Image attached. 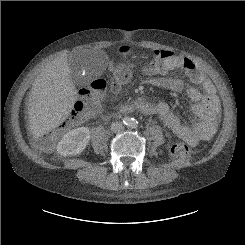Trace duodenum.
Masks as SVG:
<instances>
[{
  "label": "duodenum",
  "mask_w": 245,
  "mask_h": 245,
  "mask_svg": "<svg viewBox=\"0 0 245 245\" xmlns=\"http://www.w3.org/2000/svg\"><path fill=\"white\" fill-rule=\"evenodd\" d=\"M131 111H132V108L130 106L129 107L125 106L124 108L120 110V114L126 115V114H129Z\"/></svg>",
  "instance_id": "1"
}]
</instances>
